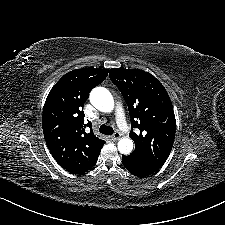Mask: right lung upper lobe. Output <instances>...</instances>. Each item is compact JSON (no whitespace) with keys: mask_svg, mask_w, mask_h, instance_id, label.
<instances>
[{"mask_svg":"<svg viewBox=\"0 0 225 225\" xmlns=\"http://www.w3.org/2000/svg\"><path fill=\"white\" fill-rule=\"evenodd\" d=\"M109 69H76L65 74L48 94L42 114L47 146L64 169L82 174L97 162L105 141L84 128L83 105L89 92L107 77Z\"/></svg>","mask_w":225,"mask_h":225,"instance_id":"obj_1","label":"right lung upper lobe"}]
</instances>
